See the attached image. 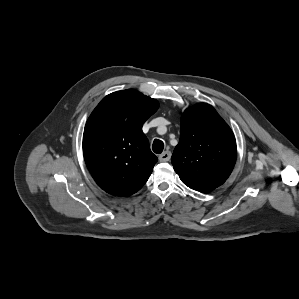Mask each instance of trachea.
<instances>
[{"label":"trachea","instance_id":"obj_1","mask_svg":"<svg viewBox=\"0 0 299 299\" xmlns=\"http://www.w3.org/2000/svg\"><path fill=\"white\" fill-rule=\"evenodd\" d=\"M152 149H153L154 153L160 154V153H162V151L164 149V143L159 139H155L153 142Z\"/></svg>","mask_w":299,"mask_h":299}]
</instances>
